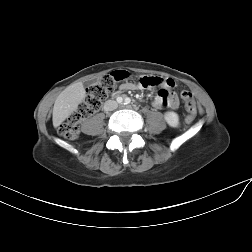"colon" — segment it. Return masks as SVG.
Segmentation results:
<instances>
[{
	"instance_id": "1",
	"label": "colon",
	"mask_w": 252,
	"mask_h": 252,
	"mask_svg": "<svg viewBox=\"0 0 252 252\" xmlns=\"http://www.w3.org/2000/svg\"><path fill=\"white\" fill-rule=\"evenodd\" d=\"M131 79V74L125 70L113 71L102 76L96 83L91 85L83 101L77 106L75 111L59 127V134L66 139H75L79 135L78 125L86 117L96 112L103 100L116 91L117 88L127 83ZM137 81L143 87H153L148 76H137ZM182 101L188 112L186 121L192 122L196 116V104L193 95L189 91L181 93Z\"/></svg>"
}]
</instances>
